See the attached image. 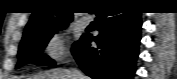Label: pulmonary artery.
Here are the masks:
<instances>
[{
    "label": "pulmonary artery",
    "instance_id": "e3ab8cb5",
    "mask_svg": "<svg viewBox=\"0 0 177 79\" xmlns=\"http://www.w3.org/2000/svg\"><path fill=\"white\" fill-rule=\"evenodd\" d=\"M89 24H90V19H89V17L83 16V17L80 19V25H81L83 28L87 27Z\"/></svg>",
    "mask_w": 177,
    "mask_h": 79
}]
</instances>
